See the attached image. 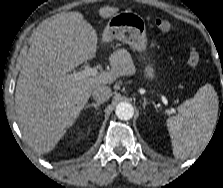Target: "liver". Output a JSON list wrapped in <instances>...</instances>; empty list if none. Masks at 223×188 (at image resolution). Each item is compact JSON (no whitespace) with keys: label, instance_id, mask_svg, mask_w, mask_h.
I'll return each instance as SVG.
<instances>
[{"label":"liver","instance_id":"liver-1","mask_svg":"<svg viewBox=\"0 0 223 188\" xmlns=\"http://www.w3.org/2000/svg\"><path fill=\"white\" fill-rule=\"evenodd\" d=\"M118 8L103 7L107 19ZM109 38L102 33L101 43ZM97 34L79 12L45 20L33 37L20 71L15 105L17 122L28 144L37 153L50 152L71 127L87 103L93 88L112 84L126 73V65L110 59L111 70L72 81L68 73L95 56Z\"/></svg>","mask_w":223,"mask_h":188}]
</instances>
